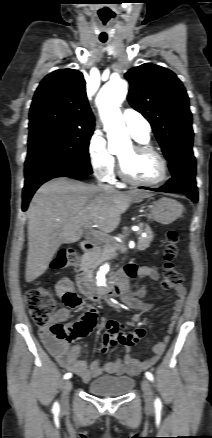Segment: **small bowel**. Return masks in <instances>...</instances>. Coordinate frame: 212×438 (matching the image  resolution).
Masks as SVG:
<instances>
[{
  "label": "small bowel",
  "instance_id": "small-bowel-1",
  "mask_svg": "<svg viewBox=\"0 0 212 438\" xmlns=\"http://www.w3.org/2000/svg\"><path fill=\"white\" fill-rule=\"evenodd\" d=\"M136 276L141 278H149L154 281L159 279V273L153 267H138L134 264L127 265L119 277L122 282V289L119 293L121 299H127L130 296H135L137 298H144L146 296L148 291L146 286H136L133 290L129 289L127 285V278ZM56 289L59 294H61L64 289H73L72 281L64 277L58 281ZM174 291L176 294V300L173 305V314L170 318V324L168 327L169 334L173 331L175 322L177 321L182 310L186 296V289L182 284L176 286ZM158 297L159 299H162L161 294H158ZM135 305L139 309L149 310L154 308L156 304L135 301ZM72 308H77L82 311V316L74 323H68L66 327H71L77 322H82L88 327V333L91 332L97 323L98 314L93 307L83 302L80 298L79 302L75 305L69 306L64 303L59 305L56 308L54 320L61 323L67 321ZM146 332V328L140 327L134 332L126 333L123 331L122 324L115 320H109L105 324L101 350L102 352H105L109 348L120 344L129 352L130 349L146 335ZM39 334L43 342L46 344L52 355L58 360L61 366L78 375L84 382H88L96 376L104 373L115 375H138L157 361L170 339L169 336H166L161 343L154 347V356L144 361L137 360L131 354H127L124 359L117 358L114 361L102 365L99 360H93L90 364H88L84 359L80 358V346L72 345L70 341L56 339L48 327H41L39 329Z\"/></svg>",
  "mask_w": 212,
  "mask_h": 438
}]
</instances>
